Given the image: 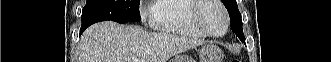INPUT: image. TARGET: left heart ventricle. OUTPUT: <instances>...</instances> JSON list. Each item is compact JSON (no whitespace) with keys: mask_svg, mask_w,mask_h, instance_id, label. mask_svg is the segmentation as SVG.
<instances>
[{"mask_svg":"<svg viewBox=\"0 0 331 62\" xmlns=\"http://www.w3.org/2000/svg\"><path fill=\"white\" fill-rule=\"evenodd\" d=\"M201 19L204 25L214 34L223 32L225 23L221 10L215 5H208L201 12Z\"/></svg>","mask_w":331,"mask_h":62,"instance_id":"b2bd125f","label":"left heart ventricle"}]
</instances>
